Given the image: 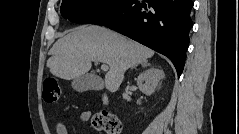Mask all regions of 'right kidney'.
Here are the masks:
<instances>
[{
	"label": "right kidney",
	"mask_w": 239,
	"mask_h": 134,
	"mask_svg": "<svg viewBox=\"0 0 239 134\" xmlns=\"http://www.w3.org/2000/svg\"><path fill=\"white\" fill-rule=\"evenodd\" d=\"M164 76L163 70L152 67L139 74L137 77V85L142 93L151 95Z\"/></svg>",
	"instance_id": "1"
}]
</instances>
